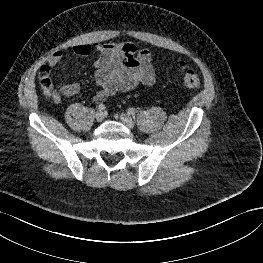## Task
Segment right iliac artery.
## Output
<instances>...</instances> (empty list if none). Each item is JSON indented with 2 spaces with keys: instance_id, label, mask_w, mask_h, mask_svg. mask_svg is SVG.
<instances>
[{
  "instance_id": "1",
  "label": "right iliac artery",
  "mask_w": 263,
  "mask_h": 263,
  "mask_svg": "<svg viewBox=\"0 0 263 263\" xmlns=\"http://www.w3.org/2000/svg\"><path fill=\"white\" fill-rule=\"evenodd\" d=\"M104 109H105V105H104V104H99L98 110H99V111H102V110H104Z\"/></svg>"
}]
</instances>
